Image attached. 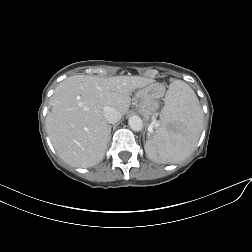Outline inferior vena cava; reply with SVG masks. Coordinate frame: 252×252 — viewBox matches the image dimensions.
<instances>
[{
    "instance_id": "1",
    "label": "inferior vena cava",
    "mask_w": 252,
    "mask_h": 252,
    "mask_svg": "<svg viewBox=\"0 0 252 252\" xmlns=\"http://www.w3.org/2000/svg\"><path fill=\"white\" fill-rule=\"evenodd\" d=\"M104 117L108 123H116L121 119V113L113 107L105 106L103 109Z\"/></svg>"
}]
</instances>
